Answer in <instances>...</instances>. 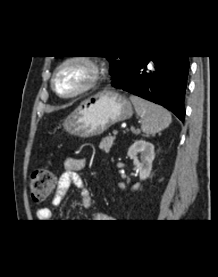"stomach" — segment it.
Wrapping results in <instances>:
<instances>
[{"label": "stomach", "instance_id": "0dacf381", "mask_svg": "<svg viewBox=\"0 0 218 277\" xmlns=\"http://www.w3.org/2000/svg\"><path fill=\"white\" fill-rule=\"evenodd\" d=\"M132 115L133 107L128 99L115 91L104 90L82 101L62 126L71 135L90 138Z\"/></svg>", "mask_w": 218, "mask_h": 277}]
</instances>
